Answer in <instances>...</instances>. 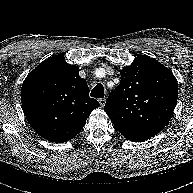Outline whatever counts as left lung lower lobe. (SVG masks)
<instances>
[{
    "label": "left lung lower lobe",
    "instance_id": "1",
    "mask_svg": "<svg viewBox=\"0 0 193 193\" xmlns=\"http://www.w3.org/2000/svg\"><path fill=\"white\" fill-rule=\"evenodd\" d=\"M133 142H142V141H145V140H132Z\"/></svg>",
    "mask_w": 193,
    "mask_h": 193
}]
</instances>
